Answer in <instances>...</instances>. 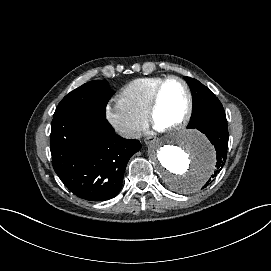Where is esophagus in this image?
<instances>
[{
	"label": "esophagus",
	"instance_id": "esophagus-1",
	"mask_svg": "<svg viewBox=\"0 0 271 271\" xmlns=\"http://www.w3.org/2000/svg\"><path fill=\"white\" fill-rule=\"evenodd\" d=\"M144 142H145V144H147V145H150V144H154V143H156L157 142V137L156 136H149V137H146L145 139H144Z\"/></svg>",
	"mask_w": 271,
	"mask_h": 271
}]
</instances>
